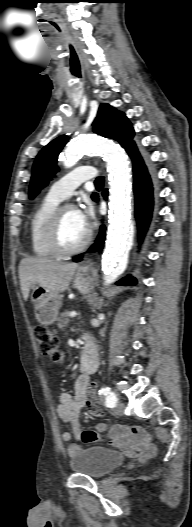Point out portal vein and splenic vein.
Masks as SVG:
<instances>
[{"label": "portal vein and splenic vein", "instance_id": "portal-vein-and-splenic-vein-1", "mask_svg": "<svg viewBox=\"0 0 192 527\" xmlns=\"http://www.w3.org/2000/svg\"><path fill=\"white\" fill-rule=\"evenodd\" d=\"M69 316H70L71 318L76 317V316H77V313L73 311V312L70 313Z\"/></svg>", "mask_w": 192, "mask_h": 527}]
</instances>
